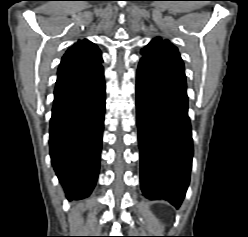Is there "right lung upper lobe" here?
Here are the masks:
<instances>
[{
	"label": "right lung upper lobe",
	"mask_w": 248,
	"mask_h": 237,
	"mask_svg": "<svg viewBox=\"0 0 248 237\" xmlns=\"http://www.w3.org/2000/svg\"><path fill=\"white\" fill-rule=\"evenodd\" d=\"M101 62V52L98 47L86 39L80 40L63 56L58 68V76L81 72Z\"/></svg>",
	"instance_id": "obj_1"
}]
</instances>
